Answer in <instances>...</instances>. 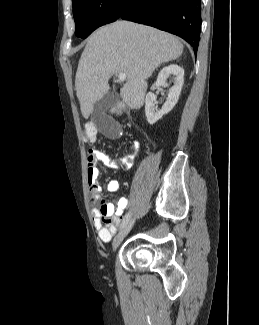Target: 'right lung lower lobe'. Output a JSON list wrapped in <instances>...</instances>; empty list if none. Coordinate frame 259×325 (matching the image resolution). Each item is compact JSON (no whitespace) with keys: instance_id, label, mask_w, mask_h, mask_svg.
<instances>
[{"instance_id":"right-lung-lower-lobe-1","label":"right lung lower lobe","mask_w":259,"mask_h":325,"mask_svg":"<svg viewBox=\"0 0 259 325\" xmlns=\"http://www.w3.org/2000/svg\"><path fill=\"white\" fill-rule=\"evenodd\" d=\"M118 18L170 32L198 50L201 0H126Z\"/></svg>"}]
</instances>
